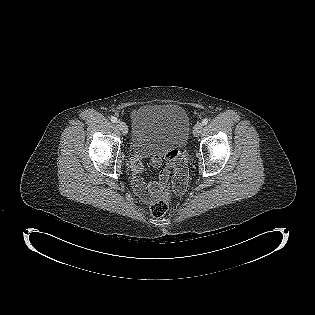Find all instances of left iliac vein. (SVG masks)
<instances>
[{
  "label": "left iliac vein",
  "instance_id": "1",
  "mask_svg": "<svg viewBox=\"0 0 315 315\" xmlns=\"http://www.w3.org/2000/svg\"><path fill=\"white\" fill-rule=\"evenodd\" d=\"M203 129V124L202 123H196L194 128H193V134L194 136H199L200 133L202 132Z\"/></svg>",
  "mask_w": 315,
  "mask_h": 315
}]
</instances>
